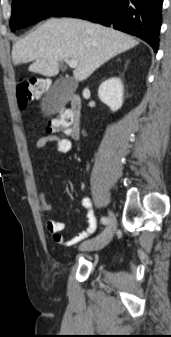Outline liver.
I'll return each mask as SVG.
<instances>
[{
  "mask_svg": "<svg viewBox=\"0 0 171 337\" xmlns=\"http://www.w3.org/2000/svg\"><path fill=\"white\" fill-rule=\"evenodd\" d=\"M138 44L133 37L88 21L51 18L17 41L12 48L14 65L33 61L28 70L46 77L59 73L65 58L78 61L73 75L87 79L109 59Z\"/></svg>",
  "mask_w": 171,
  "mask_h": 337,
  "instance_id": "1",
  "label": "liver"
}]
</instances>
